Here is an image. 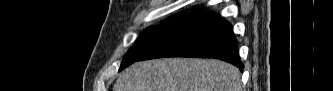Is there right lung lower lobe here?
I'll return each instance as SVG.
<instances>
[{
  "label": "right lung lower lobe",
  "instance_id": "obj_1",
  "mask_svg": "<svg viewBox=\"0 0 333 91\" xmlns=\"http://www.w3.org/2000/svg\"><path fill=\"white\" fill-rule=\"evenodd\" d=\"M162 57L216 58L237 66L241 71L244 67L231 25L219 15L210 13L189 20L137 61Z\"/></svg>",
  "mask_w": 333,
  "mask_h": 91
}]
</instances>
